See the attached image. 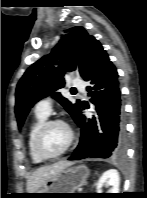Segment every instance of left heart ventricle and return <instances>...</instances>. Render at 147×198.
<instances>
[{"label": "left heart ventricle", "mask_w": 147, "mask_h": 198, "mask_svg": "<svg viewBox=\"0 0 147 198\" xmlns=\"http://www.w3.org/2000/svg\"><path fill=\"white\" fill-rule=\"evenodd\" d=\"M68 140V132L62 125L51 126L45 133L42 146L48 153L54 154L62 150Z\"/></svg>", "instance_id": "1"}]
</instances>
